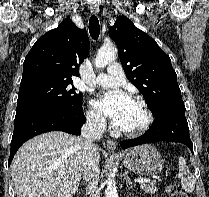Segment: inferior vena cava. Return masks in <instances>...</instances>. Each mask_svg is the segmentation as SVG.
<instances>
[{
  "label": "inferior vena cava",
  "instance_id": "602c4592",
  "mask_svg": "<svg viewBox=\"0 0 209 197\" xmlns=\"http://www.w3.org/2000/svg\"><path fill=\"white\" fill-rule=\"evenodd\" d=\"M105 130V118L100 114H94L87 118L86 123L81 128V136L78 138L85 151L82 174L87 185L86 192L90 197H100L98 188L100 169L96 157L97 146L94 142L102 138Z\"/></svg>",
  "mask_w": 209,
  "mask_h": 197
}]
</instances>
